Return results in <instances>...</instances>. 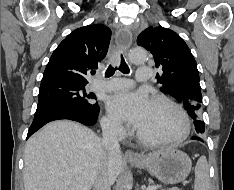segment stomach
<instances>
[{
	"mask_svg": "<svg viewBox=\"0 0 234 190\" xmlns=\"http://www.w3.org/2000/svg\"><path fill=\"white\" fill-rule=\"evenodd\" d=\"M130 163L138 168L147 169L150 174L163 183L175 184L186 179L191 171L188 155L174 147H162Z\"/></svg>",
	"mask_w": 234,
	"mask_h": 190,
	"instance_id": "0dacf381",
	"label": "stomach"
}]
</instances>
